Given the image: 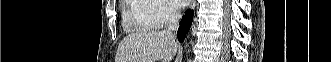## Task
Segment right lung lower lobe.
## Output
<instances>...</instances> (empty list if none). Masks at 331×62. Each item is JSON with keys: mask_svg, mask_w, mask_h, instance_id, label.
I'll return each mask as SVG.
<instances>
[{"mask_svg": "<svg viewBox=\"0 0 331 62\" xmlns=\"http://www.w3.org/2000/svg\"><path fill=\"white\" fill-rule=\"evenodd\" d=\"M193 20V12L188 10L185 15H183L182 20L180 22V27L177 32V38L180 42H183L187 32L190 29Z\"/></svg>", "mask_w": 331, "mask_h": 62, "instance_id": "1", "label": "right lung lower lobe"}]
</instances>
